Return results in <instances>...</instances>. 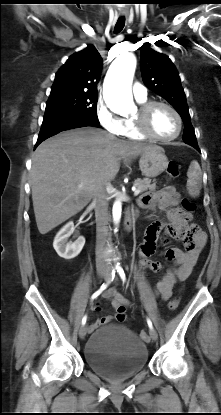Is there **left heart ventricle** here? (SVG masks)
Returning a JSON list of instances; mask_svg holds the SVG:
<instances>
[{
  "mask_svg": "<svg viewBox=\"0 0 221 415\" xmlns=\"http://www.w3.org/2000/svg\"><path fill=\"white\" fill-rule=\"evenodd\" d=\"M149 123L152 132L160 137L173 136L178 128L173 113L163 106H156L152 110Z\"/></svg>",
  "mask_w": 221,
  "mask_h": 415,
  "instance_id": "left-heart-ventricle-1",
  "label": "left heart ventricle"
}]
</instances>
